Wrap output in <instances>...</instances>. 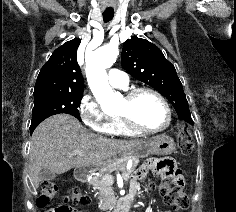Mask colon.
<instances>
[{
	"instance_id": "5ec220e1",
	"label": "colon",
	"mask_w": 236,
	"mask_h": 212,
	"mask_svg": "<svg viewBox=\"0 0 236 212\" xmlns=\"http://www.w3.org/2000/svg\"><path fill=\"white\" fill-rule=\"evenodd\" d=\"M177 143L182 154L189 155L192 153L193 141L191 133L182 124L178 127ZM182 184L183 181L180 175L176 171H172L156 188L168 204L173 205L177 209H187L189 201L183 195ZM57 193L58 185L55 182L44 181L41 185V194L37 200L38 205L41 207L47 206L56 197ZM87 202L88 198L81 194L77 187H73L66 196V203L52 208L48 212H77L73 206L86 204Z\"/></svg>"
}]
</instances>
